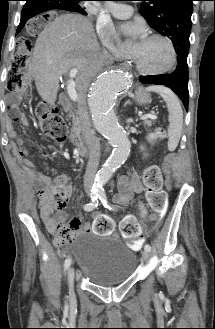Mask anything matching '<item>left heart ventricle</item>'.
Instances as JSON below:
<instances>
[{
  "label": "left heart ventricle",
  "instance_id": "b2bd125f",
  "mask_svg": "<svg viewBox=\"0 0 215 329\" xmlns=\"http://www.w3.org/2000/svg\"><path fill=\"white\" fill-rule=\"evenodd\" d=\"M131 54L147 70H160L169 65L171 51L168 45L159 39L148 38L142 44H134Z\"/></svg>",
  "mask_w": 215,
  "mask_h": 329
}]
</instances>
